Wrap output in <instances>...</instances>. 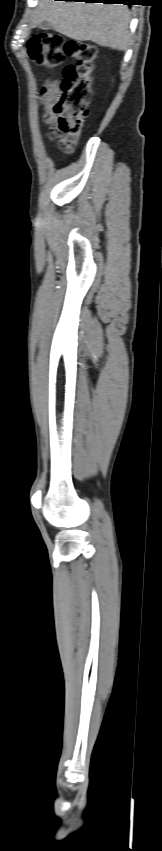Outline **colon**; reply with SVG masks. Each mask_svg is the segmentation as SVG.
<instances>
[{"label":"colon","instance_id":"colon-1","mask_svg":"<svg viewBox=\"0 0 162 851\" xmlns=\"http://www.w3.org/2000/svg\"><path fill=\"white\" fill-rule=\"evenodd\" d=\"M27 52L36 63L51 67L61 65L66 56L75 60V64L64 69L54 113L58 130L76 144L88 115L90 79L98 53L96 46L46 32L28 40Z\"/></svg>","mask_w":162,"mask_h":851}]
</instances>
